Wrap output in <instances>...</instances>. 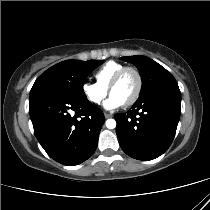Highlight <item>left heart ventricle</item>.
<instances>
[{
  "label": "left heart ventricle",
  "mask_w": 210,
  "mask_h": 210,
  "mask_svg": "<svg viewBox=\"0 0 210 210\" xmlns=\"http://www.w3.org/2000/svg\"><path fill=\"white\" fill-rule=\"evenodd\" d=\"M138 80L133 72H127L121 81L112 89L111 95L117 96L123 103L127 102L136 92Z\"/></svg>",
  "instance_id": "left-heart-ventricle-1"
}]
</instances>
